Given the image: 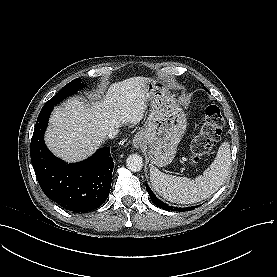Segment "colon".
<instances>
[{
    "instance_id": "5ec220e1",
    "label": "colon",
    "mask_w": 277,
    "mask_h": 277,
    "mask_svg": "<svg viewBox=\"0 0 277 277\" xmlns=\"http://www.w3.org/2000/svg\"><path fill=\"white\" fill-rule=\"evenodd\" d=\"M224 127V119L220 108L217 105H209L205 109L204 120L199 133L190 143V162H200L212 149L213 145L220 138Z\"/></svg>"
}]
</instances>
